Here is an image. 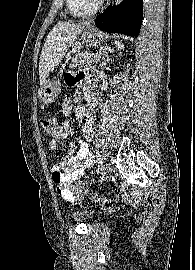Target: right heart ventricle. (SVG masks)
Masks as SVG:
<instances>
[{
	"mask_svg": "<svg viewBox=\"0 0 195 270\" xmlns=\"http://www.w3.org/2000/svg\"><path fill=\"white\" fill-rule=\"evenodd\" d=\"M66 6L74 17H87L96 11L88 0H66Z\"/></svg>",
	"mask_w": 195,
	"mask_h": 270,
	"instance_id": "right-heart-ventricle-1",
	"label": "right heart ventricle"
}]
</instances>
